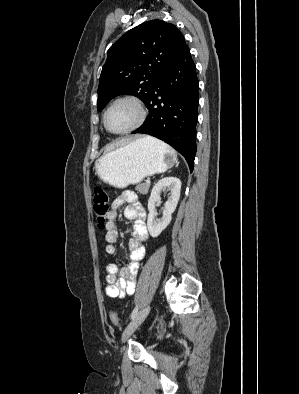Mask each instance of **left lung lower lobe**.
Masks as SVG:
<instances>
[{
	"instance_id": "1",
	"label": "left lung lower lobe",
	"mask_w": 299,
	"mask_h": 394,
	"mask_svg": "<svg viewBox=\"0 0 299 394\" xmlns=\"http://www.w3.org/2000/svg\"><path fill=\"white\" fill-rule=\"evenodd\" d=\"M196 67L186 46L160 75L146 103L149 116L132 133L157 137L181 153L193 171L198 116Z\"/></svg>"
}]
</instances>
